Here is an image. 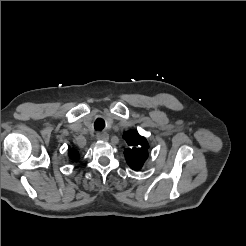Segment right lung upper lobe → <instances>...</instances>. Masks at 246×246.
I'll return each instance as SVG.
<instances>
[{"instance_id":"1","label":"right lung upper lobe","mask_w":246,"mask_h":246,"mask_svg":"<svg viewBox=\"0 0 246 246\" xmlns=\"http://www.w3.org/2000/svg\"><path fill=\"white\" fill-rule=\"evenodd\" d=\"M69 157L74 161H79V153L75 149H69Z\"/></svg>"}]
</instances>
